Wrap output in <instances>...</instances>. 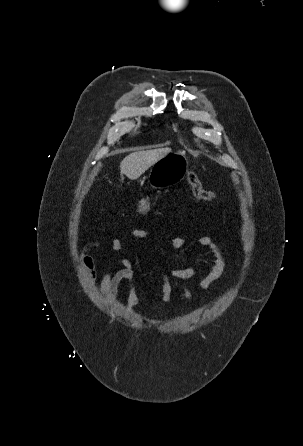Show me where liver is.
Returning <instances> with one entry per match:
<instances>
[{
    "label": "liver",
    "mask_w": 303,
    "mask_h": 446,
    "mask_svg": "<svg viewBox=\"0 0 303 446\" xmlns=\"http://www.w3.org/2000/svg\"><path fill=\"white\" fill-rule=\"evenodd\" d=\"M170 151L169 148H164L130 153L120 163L121 174L135 180Z\"/></svg>",
    "instance_id": "6515ba94"
}]
</instances>
